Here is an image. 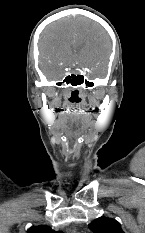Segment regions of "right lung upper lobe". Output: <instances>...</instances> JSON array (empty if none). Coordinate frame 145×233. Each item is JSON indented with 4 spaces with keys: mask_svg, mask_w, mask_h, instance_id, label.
<instances>
[{
    "mask_svg": "<svg viewBox=\"0 0 145 233\" xmlns=\"http://www.w3.org/2000/svg\"><path fill=\"white\" fill-rule=\"evenodd\" d=\"M27 233H63L61 231H54L50 227L41 225V226H33L28 229Z\"/></svg>",
    "mask_w": 145,
    "mask_h": 233,
    "instance_id": "1",
    "label": "right lung upper lobe"
}]
</instances>
